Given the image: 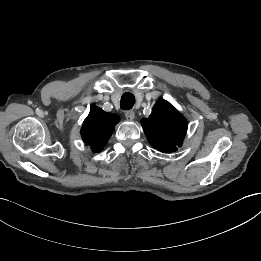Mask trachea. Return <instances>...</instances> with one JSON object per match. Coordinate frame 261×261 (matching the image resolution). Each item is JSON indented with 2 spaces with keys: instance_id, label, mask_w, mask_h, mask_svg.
<instances>
[{
  "instance_id": "obj_1",
  "label": "trachea",
  "mask_w": 261,
  "mask_h": 261,
  "mask_svg": "<svg viewBox=\"0 0 261 261\" xmlns=\"http://www.w3.org/2000/svg\"><path fill=\"white\" fill-rule=\"evenodd\" d=\"M135 103V96L132 93H124L121 97L120 107L124 110L131 109Z\"/></svg>"
}]
</instances>
